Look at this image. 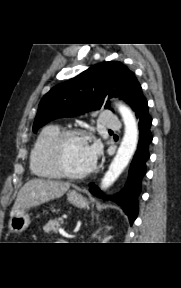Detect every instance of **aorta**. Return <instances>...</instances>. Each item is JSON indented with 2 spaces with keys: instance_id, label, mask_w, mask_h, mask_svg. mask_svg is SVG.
Listing matches in <instances>:
<instances>
[{
  "instance_id": "1",
  "label": "aorta",
  "mask_w": 181,
  "mask_h": 288,
  "mask_svg": "<svg viewBox=\"0 0 181 288\" xmlns=\"http://www.w3.org/2000/svg\"><path fill=\"white\" fill-rule=\"evenodd\" d=\"M118 110L125 125V132L117 153L101 181L102 189L110 187L117 180L128 165L138 144V127L134 114L123 104H118Z\"/></svg>"
}]
</instances>
